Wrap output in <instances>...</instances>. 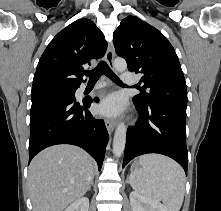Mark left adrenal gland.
<instances>
[{
  "mask_svg": "<svg viewBox=\"0 0 221 211\" xmlns=\"http://www.w3.org/2000/svg\"><path fill=\"white\" fill-rule=\"evenodd\" d=\"M126 183H129V177L127 176Z\"/></svg>",
  "mask_w": 221,
  "mask_h": 211,
  "instance_id": "1",
  "label": "left adrenal gland"
}]
</instances>
